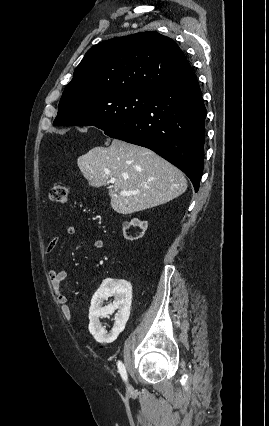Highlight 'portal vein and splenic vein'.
<instances>
[{"label":"portal vein and splenic vein","mask_w":269,"mask_h":426,"mask_svg":"<svg viewBox=\"0 0 269 426\" xmlns=\"http://www.w3.org/2000/svg\"><path fill=\"white\" fill-rule=\"evenodd\" d=\"M115 179L114 178H112V179H110L109 180V182L111 183V184H114L115 183ZM137 192H133V191H121L120 192V194L121 195H123V196H130V195H132V194H136Z\"/></svg>","instance_id":"portal-vein-and-splenic-vein-1"}]
</instances>
